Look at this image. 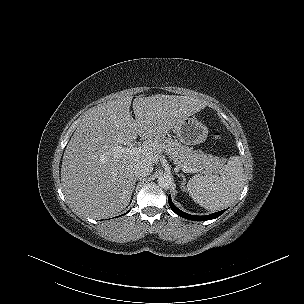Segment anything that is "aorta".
Returning a JSON list of instances; mask_svg holds the SVG:
<instances>
[{"instance_id": "762f6f07", "label": "aorta", "mask_w": 304, "mask_h": 304, "mask_svg": "<svg viewBox=\"0 0 304 304\" xmlns=\"http://www.w3.org/2000/svg\"><path fill=\"white\" fill-rule=\"evenodd\" d=\"M157 183H158L159 187H161L163 189H168V188H170V186L172 184V179L168 174L161 173L158 176Z\"/></svg>"}]
</instances>
